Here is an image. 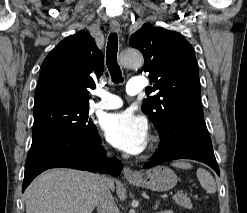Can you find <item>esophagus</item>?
I'll return each instance as SVG.
<instances>
[{"label": "esophagus", "mask_w": 247, "mask_h": 213, "mask_svg": "<svg viewBox=\"0 0 247 213\" xmlns=\"http://www.w3.org/2000/svg\"><path fill=\"white\" fill-rule=\"evenodd\" d=\"M110 28L113 32L120 31V24L118 22H111ZM123 174L126 179L137 178L139 175L135 171H133L130 167L125 166L123 169Z\"/></svg>", "instance_id": "obj_1"}]
</instances>
